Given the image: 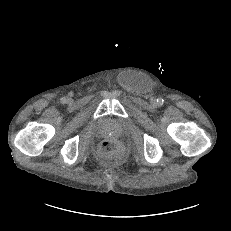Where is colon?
<instances>
[{"label":"colon","mask_w":231,"mask_h":231,"mask_svg":"<svg viewBox=\"0 0 231 231\" xmlns=\"http://www.w3.org/2000/svg\"><path fill=\"white\" fill-rule=\"evenodd\" d=\"M100 154L105 158H112L118 154V147L113 140H104L99 148Z\"/></svg>","instance_id":"obj_1"}]
</instances>
